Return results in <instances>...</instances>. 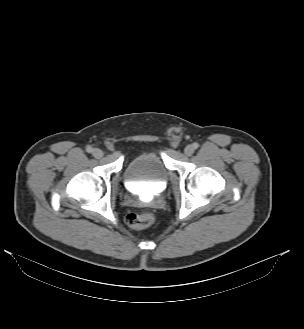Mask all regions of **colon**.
Here are the masks:
<instances>
[{
  "mask_svg": "<svg viewBox=\"0 0 304 329\" xmlns=\"http://www.w3.org/2000/svg\"><path fill=\"white\" fill-rule=\"evenodd\" d=\"M155 221V216L151 212L142 214L129 213L126 216L127 225L134 230H141L150 227Z\"/></svg>",
  "mask_w": 304,
  "mask_h": 329,
  "instance_id": "5ec220e1",
  "label": "colon"
}]
</instances>
